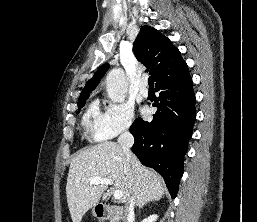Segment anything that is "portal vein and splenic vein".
<instances>
[{
	"instance_id": "18ae733b",
	"label": "portal vein and splenic vein",
	"mask_w": 257,
	"mask_h": 222,
	"mask_svg": "<svg viewBox=\"0 0 257 222\" xmlns=\"http://www.w3.org/2000/svg\"><path fill=\"white\" fill-rule=\"evenodd\" d=\"M90 184L91 185H98V184L113 185V181L108 178L94 177L90 179ZM113 197L116 200H120L122 198V192L120 190H115L113 193Z\"/></svg>"
}]
</instances>
